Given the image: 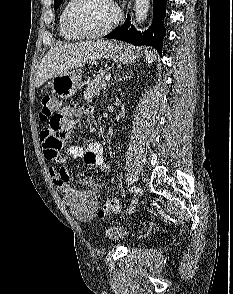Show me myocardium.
<instances>
[{"label": "myocardium", "mask_w": 233, "mask_h": 294, "mask_svg": "<svg viewBox=\"0 0 233 294\" xmlns=\"http://www.w3.org/2000/svg\"><path fill=\"white\" fill-rule=\"evenodd\" d=\"M109 1L114 5L115 16H114L113 20L102 30L96 31V32H82L74 26V24L72 22V13H73L74 8L77 6V4L79 2H81V0H71L70 1V4H69V6L66 10V14H65L66 27L73 35H75L78 38H83V39L98 38V37H101V36L108 34L120 23V21L122 19L121 11H120L118 5L116 4V2L114 0H109Z\"/></svg>", "instance_id": "myocardium-1"}]
</instances>
